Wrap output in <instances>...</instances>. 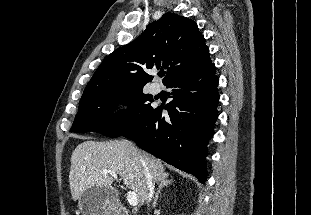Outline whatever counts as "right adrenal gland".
<instances>
[{"label": "right adrenal gland", "mask_w": 311, "mask_h": 215, "mask_svg": "<svg viewBox=\"0 0 311 215\" xmlns=\"http://www.w3.org/2000/svg\"><path fill=\"white\" fill-rule=\"evenodd\" d=\"M173 182H174L173 179H168V174H165V176L160 180L159 188L157 190V193L155 195V199L153 202V207L156 206L159 194L161 193L162 189L164 187H167L168 185L172 184Z\"/></svg>", "instance_id": "obj_1"}]
</instances>
